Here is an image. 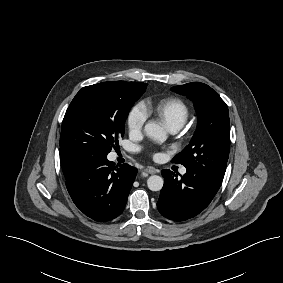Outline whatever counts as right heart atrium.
<instances>
[{
  "mask_svg": "<svg viewBox=\"0 0 283 283\" xmlns=\"http://www.w3.org/2000/svg\"><path fill=\"white\" fill-rule=\"evenodd\" d=\"M147 120V112L143 104L134 105L127 117V127L131 135L139 134Z\"/></svg>",
  "mask_w": 283,
  "mask_h": 283,
  "instance_id": "d8ad5b80",
  "label": "right heart atrium"
}]
</instances>
